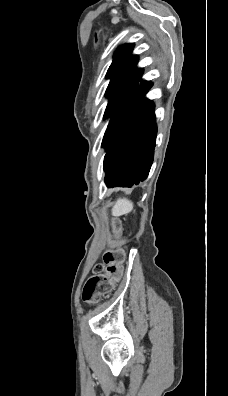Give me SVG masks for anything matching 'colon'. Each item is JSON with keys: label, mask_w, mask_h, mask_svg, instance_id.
Wrapping results in <instances>:
<instances>
[{"label": "colon", "mask_w": 228, "mask_h": 396, "mask_svg": "<svg viewBox=\"0 0 228 396\" xmlns=\"http://www.w3.org/2000/svg\"><path fill=\"white\" fill-rule=\"evenodd\" d=\"M116 233L119 232V224L113 226ZM125 252L120 245V239L116 237L111 247L103 255V265L97 264L93 269V275L87 280L82 291V299L89 304L96 303L103 295L108 293L114 283L120 280L123 271Z\"/></svg>", "instance_id": "colon-1"}]
</instances>
